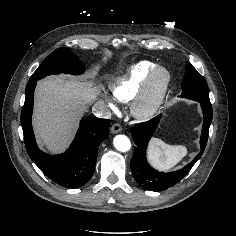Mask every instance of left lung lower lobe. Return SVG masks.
<instances>
[{"label":"left lung lower lobe","mask_w":236,"mask_h":236,"mask_svg":"<svg viewBox=\"0 0 236 236\" xmlns=\"http://www.w3.org/2000/svg\"><path fill=\"white\" fill-rule=\"evenodd\" d=\"M200 103L204 115L200 138L201 151L188 165L175 172H158L148 164L146 159V147L160 121V115L150 121L137 124L132 128L131 135L136 146L134 147V154L130 166L134 179L141 187L150 191H161L174 186L191 170L196 161L202 156L208 140L213 110L211 103Z\"/></svg>","instance_id":"obj_1"}]
</instances>
